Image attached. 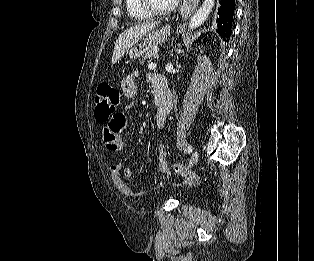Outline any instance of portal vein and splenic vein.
Here are the masks:
<instances>
[{"mask_svg":"<svg viewBox=\"0 0 314 261\" xmlns=\"http://www.w3.org/2000/svg\"><path fill=\"white\" fill-rule=\"evenodd\" d=\"M155 68H156V64L155 63H149L148 69L153 70Z\"/></svg>","mask_w":314,"mask_h":261,"instance_id":"18ae733b","label":"portal vein and splenic vein"}]
</instances>
